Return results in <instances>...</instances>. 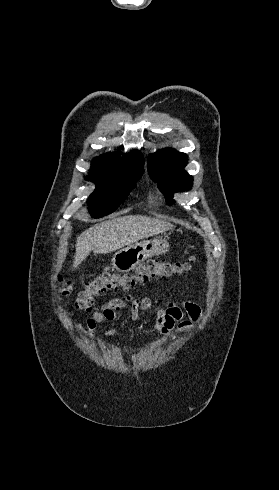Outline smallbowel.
Wrapping results in <instances>:
<instances>
[{
	"mask_svg": "<svg viewBox=\"0 0 279 490\" xmlns=\"http://www.w3.org/2000/svg\"><path fill=\"white\" fill-rule=\"evenodd\" d=\"M129 307L130 315L133 320H138L142 312L155 310L154 333L158 337L168 336L174 329L179 334L189 331L195 323L202 319L200 307L190 301L180 304L174 302H164L161 299L151 297L136 298L128 295L125 298L116 299L104 304L100 309L94 311L86 321L79 326L81 334L87 340L95 339L94 330L100 323L110 325L117 321L120 312Z\"/></svg>",
	"mask_w": 279,
	"mask_h": 490,
	"instance_id": "small-bowel-1",
	"label": "small bowel"
}]
</instances>
